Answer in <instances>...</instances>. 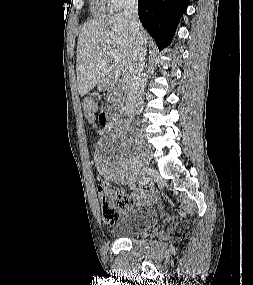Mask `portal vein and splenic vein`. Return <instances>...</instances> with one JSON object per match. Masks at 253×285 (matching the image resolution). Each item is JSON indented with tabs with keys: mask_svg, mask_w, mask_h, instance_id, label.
Instances as JSON below:
<instances>
[{
	"mask_svg": "<svg viewBox=\"0 0 253 285\" xmlns=\"http://www.w3.org/2000/svg\"><path fill=\"white\" fill-rule=\"evenodd\" d=\"M111 56L114 58L111 69H112L114 77L117 78L121 74V68L119 65L118 57H117L116 52L114 50L111 51Z\"/></svg>",
	"mask_w": 253,
	"mask_h": 285,
	"instance_id": "obj_1",
	"label": "portal vein and splenic vein"
}]
</instances>
